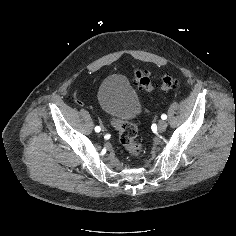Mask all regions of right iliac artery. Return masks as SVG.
I'll return each mask as SVG.
<instances>
[{
	"instance_id": "obj_1",
	"label": "right iliac artery",
	"mask_w": 236,
	"mask_h": 236,
	"mask_svg": "<svg viewBox=\"0 0 236 236\" xmlns=\"http://www.w3.org/2000/svg\"><path fill=\"white\" fill-rule=\"evenodd\" d=\"M95 131H96V132H100V131H101L100 127H99V126H96V127H95Z\"/></svg>"
}]
</instances>
